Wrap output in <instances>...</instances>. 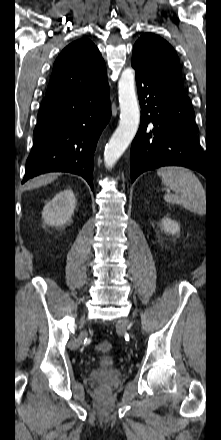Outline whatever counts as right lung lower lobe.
<instances>
[{
    "label": "right lung lower lobe",
    "instance_id": "98d812e1",
    "mask_svg": "<svg viewBox=\"0 0 221 440\" xmlns=\"http://www.w3.org/2000/svg\"><path fill=\"white\" fill-rule=\"evenodd\" d=\"M110 116L108 83L93 90L46 96L22 183L61 171L82 176L93 189L94 152Z\"/></svg>",
    "mask_w": 221,
    "mask_h": 440
}]
</instances>
